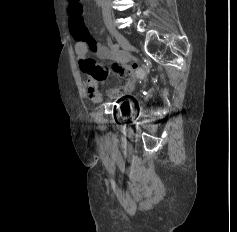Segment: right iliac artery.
Here are the masks:
<instances>
[{"label": "right iliac artery", "instance_id": "82829eb1", "mask_svg": "<svg viewBox=\"0 0 237 232\" xmlns=\"http://www.w3.org/2000/svg\"><path fill=\"white\" fill-rule=\"evenodd\" d=\"M112 48H113L114 50H118V49H119V45H118V44H113Z\"/></svg>", "mask_w": 237, "mask_h": 232}]
</instances>
